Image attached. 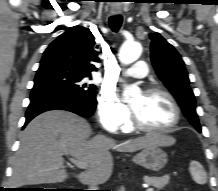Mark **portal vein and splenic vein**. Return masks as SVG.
<instances>
[{
	"mask_svg": "<svg viewBox=\"0 0 218 191\" xmlns=\"http://www.w3.org/2000/svg\"><path fill=\"white\" fill-rule=\"evenodd\" d=\"M71 162L78 168L80 169H86L87 168V163L81 160H77L75 158H70ZM146 191H154L153 188H147Z\"/></svg>",
	"mask_w": 218,
	"mask_h": 191,
	"instance_id": "1",
	"label": "portal vein and splenic vein"
}]
</instances>
